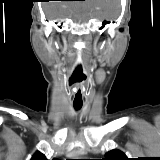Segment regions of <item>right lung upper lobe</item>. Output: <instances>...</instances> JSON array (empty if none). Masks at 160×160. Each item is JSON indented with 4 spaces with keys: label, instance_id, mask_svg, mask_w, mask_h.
<instances>
[{
    "label": "right lung upper lobe",
    "instance_id": "1",
    "mask_svg": "<svg viewBox=\"0 0 160 160\" xmlns=\"http://www.w3.org/2000/svg\"><path fill=\"white\" fill-rule=\"evenodd\" d=\"M30 160H47V158L43 153L37 151ZM53 160H57V159L54 158Z\"/></svg>",
    "mask_w": 160,
    "mask_h": 160
}]
</instances>
